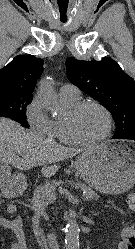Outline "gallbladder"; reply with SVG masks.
I'll return each mask as SVG.
<instances>
[{
	"label": "gallbladder",
	"mask_w": 135,
	"mask_h": 249,
	"mask_svg": "<svg viewBox=\"0 0 135 249\" xmlns=\"http://www.w3.org/2000/svg\"><path fill=\"white\" fill-rule=\"evenodd\" d=\"M3 170L8 171V166L5 165L4 163L0 162V180L2 179Z\"/></svg>",
	"instance_id": "obj_1"
}]
</instances>
